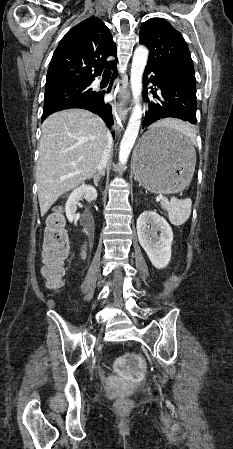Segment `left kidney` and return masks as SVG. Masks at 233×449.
Wrapping results in <instances>:
<instances>
[{"label":"left kidney","instance_id":"obj_1","mask_svg":"<svg viewBox=\"0 0 233 449\" xmlns=\"http://www.w3.org/2000/svg\"><path fill=\"white\" fill-rule=\"evenodd\" d=\"M136 228L139 243L152 265L157 269L165 268L171 259L173 241V232L168 222L156 212L144 211L137 219Z\"/></svg>","mask_w":233,"mask_h":449}]
</instances>
